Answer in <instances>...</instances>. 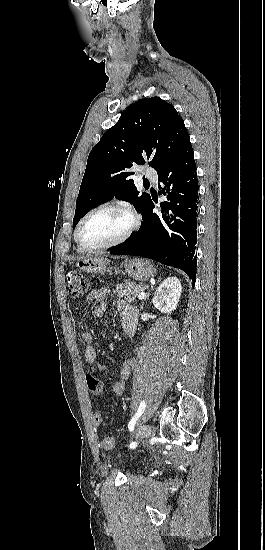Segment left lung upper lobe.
Segmentation results:
<instances>
[{"mask_svg":"<svg viewBox=\"0 0 265 550\" xmlns=\"http://www.w3.org/2000/svg\"><path fill=\"white\" fill-rule=\"evenodd\" d=\"M190 141L176 109L159 97L131 104L91 150L76 201L73 228L89 210L116 196L146 213L151 196L129 177L149 160L159 173Z\"/></svg>","mask_w":265,"mask_h":550,"instance_id":"1","label":"left lung upper lobe"}]
</instances>
